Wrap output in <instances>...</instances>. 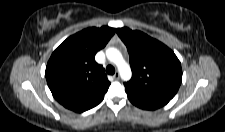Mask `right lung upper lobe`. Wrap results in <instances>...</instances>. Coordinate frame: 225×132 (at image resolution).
<instances>
[{"instance_id": "obj_1", "label": "right lung upper lobe", "mask_w": 225, "mask_h": 132, "mask_svg": "<svg viewBox=\"0 0 225 132\" xmlns=\"http://www.w3.org/2000/svg\"><path fill=\"white\" fill-rule=\"evenodd\" d=\"M116 29L87 28L67 38L52 53L45 71L54 98L75 112L87 111L104 98L110 82L95 54L105 47Z\"/></svg>"}]
</instances>
